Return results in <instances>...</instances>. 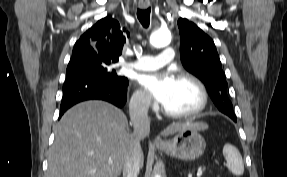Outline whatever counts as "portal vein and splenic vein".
<instances>
[{
    "instance_id": "obj_1",
    "label": "portal vein and splenic vein",
    "mask_w": 287,
    "mask_h": 177,
    "mask_svg": "<svg viewBox=\"0 0 287 177\" xmlns=\"http://www.w3.org/2000/svg\"><path fill=\"white\" fill-rule=\"evenodd\" d=\"M109 163H112V160H111V159H109ZM202 173H203V170H202V169H199V170L197 171V177H201V176H202Z\"/></svg>"
}]
</instances>
